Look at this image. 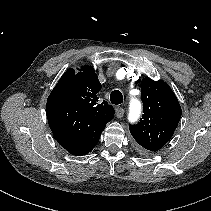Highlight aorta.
<instances>
[{
	"label": "aorta",
	"instance_id": "aorta-1",
	"mask_svg": "<svg viewBox=\"0 0 211 211\" xmlns=\"http://www.w3.org/2000/svg\"><path fill=\"white\" fill-rule=\"evenodd\" d=\"M141 102L137 98H131L130 100V106H129V114H128V120L130 122H135L138 120L140 114H141Z\"/></svg>",
	"mask_w": 211,
	"mask_h": 211
}]
</instances>
